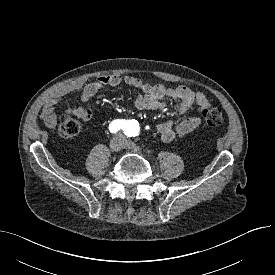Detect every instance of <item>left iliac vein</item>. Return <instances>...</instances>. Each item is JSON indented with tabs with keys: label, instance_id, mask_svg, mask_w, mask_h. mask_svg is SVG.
<instances>
[{
	"label": "left iliac vein",
	"instance_id": "1",
	"mask_svg": "<svg viewBox=\"0 0 275 275\" xmlns=\"http://www.w3.org/2000/svg\"><path fill=\"white\" fill-rule=\"evenodd\" d=\"M123 147L128 148V149H133V150H136V151L140 150L139 146H137L136 144H134L130 141L124 140V139H123Z\"/></svg>",
	"mask_w": 275,
	"mask_h": 275
}]
</instances>
